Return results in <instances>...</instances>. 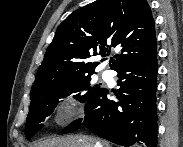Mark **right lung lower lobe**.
Returning a JSON list of instances; mask_svg holds the SVG:
<instances>
[{"instance_id":"obj_1","label":"right lung lower lobe","mask_w":183,"mask_h":147,"mask_svg":"<svg viewBox=\"0 0 183 147\" xmlns=\"http://www.w3.org/2000/svg\"><path fill=\"white\" fill-rule=\"evenodd\" d=\"M118 72V101L100 88L85 104V117L72 122L59 134L86 126L101 138L129 147L134 143L157 145V53L130 60Z\"/></svg>"}]
</instances>
